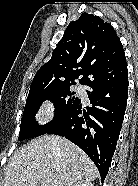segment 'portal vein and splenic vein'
<instances>
[{
  "label": "portal vein and splenic vein",
  "instance_id": "portal-vein-and-splenic-vein-1",
  "mask_svg": "<svg viewBox=\"0 0 138 186\" xmlns=\"http://www.w3.org/2000/svg\"><path fill=\"white\" fill-rule=\"evenodd\" d=\"M41 186H47L46 184H42Z\"/></svg>",
  "mask_w": 138,
  "mask_h": 186
}]
</instances>
